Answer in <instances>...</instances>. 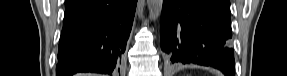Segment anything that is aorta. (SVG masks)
I'll list each match as a JSON object with an SVG mask.
<instances>
[{
  "mask_svg": "<svg viewBox=\"0 0 287 76\" xmlns=\"http://www.w3.org/2000/svg\"><path fill=\"white\" fill-rule=\"evenodd\" d=\"M149 16L154 21L161 15L163 0H147Z\"/></svg>",
  "mask_w": 287,
  "mask_h": 76,
  "instance_id": "762f6f07",
  "label": "aorta"
}]
</instances>
